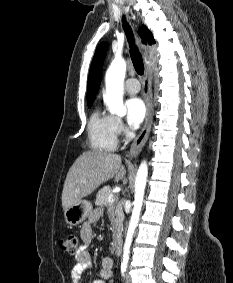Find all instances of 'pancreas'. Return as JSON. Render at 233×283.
Wrapping results in <instances>:
<instances>
[{
  "label": "pancreas",
  "mask_w": 233,
  "mask_h": 283,
  "mask_svg": "<svg viewBox=\"0 0 233 283\" xmlns=\"http://www.w3.org/2000/svg\"><path fill=\"white\" fill-rule=\"evenodd\" d=\"M110 195H113V192L110 186H104L103 188H101L98 191L97 196H96V205L98 206L104 205L106 207H109L112 221L115 224V233L118 234L121 232V229H122V220H123L122 205L121 203H118L117 205L111 204L108 201V197Z\"/></svg>",
  "instance_id": "obj_1"
}]
</instances>
